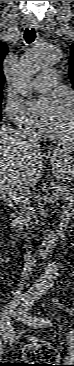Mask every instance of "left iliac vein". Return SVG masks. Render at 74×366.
Masks as SVG:
<instances>
[{
    "label": "left iliac vein",
    "instance_id": "obj_1",
    "mask_svg": "<svg viewBox=\"0 0 74 366\" xmlns=\"http://www.w3.org/2000/svg\"><path fill=\"white\" fill-rule=\"evenodd\" d=\"M20 319L23 320V316L22 315H20Z\"/></svg>",
    "mask_w": 74,
    "mask_h": 366
}]
</instances>
